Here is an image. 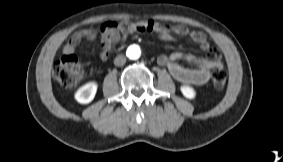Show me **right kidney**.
<instances>
[{
    "label": "right kidney",
    "mask_w": 283,
    "mask_h": 162,
    "mask_svg": "<svg viewBox=\"0 0 283 162\" xmlns=\"http://www.w3.org/2000/svg\"><path fill=\"white\" fill-rule=\"evenodd\" d=\"M97 87H98L97 83H95V82H89V83L83 85L75 93L76 101L81 103V104L90 103L95 97Z\"/></svg>",
    "instance_id": "right-kidney-1"
}]
</instances>
